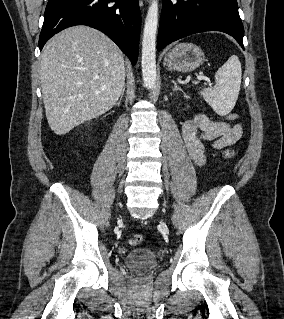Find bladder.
I'll use <instances>...</instances> for the list:
<instances>
[{"mask_svg":"<svg viewBox=\"0 0 284 319\" xmlns=\"http://www.w3.org/2000/svg\"><path fill=\"white\" fill-rule=\"evenodd\" d=\"M124 263L135 273H145L157 265V256L149 249H135L124 257Z\"/></svg>","mask_w":284,"mask_h":319,"instance_id":"1","label":"bladder"}]
</instances>
